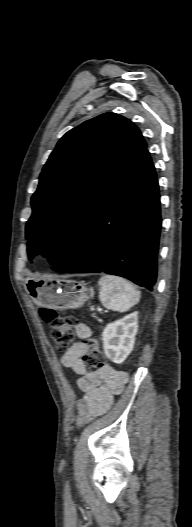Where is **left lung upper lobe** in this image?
I'll use <instances>...</instances> for the list:
<instances>
[{"mask_svg":"<svg viewBox=\"0 0 192 527\" xmlns=\"http://www.w3.org/2000/svg\"><path fill=\"white\" fill-rule=\"evenodd\" d=\"M128 119L104 113L67 132L51 153L31 199L28 254L56 264L123 172L146 150Z\"/></svg>","mask_w":192,"mask_h":527,"instance_id":"5c2ea615","label":"left lung upper lobe"}]
</instances>
